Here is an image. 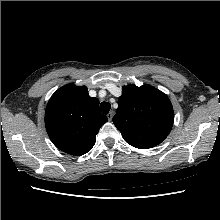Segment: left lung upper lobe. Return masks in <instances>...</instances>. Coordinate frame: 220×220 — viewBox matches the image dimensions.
<instances>
[{
	"instance_id": "1",
	"label": "left lung upper lobe",
	"mask_w": 220,
	"mask_h": 220,
	"mask_svg": "<svg viewBox=\"0 0 220 220\" xmlns=\"http://www.w3.org/2000/svg\"><path fill=\"white\" fill-rule=\"evenodd\" d=\"M118 105L113 123L131 146L152 148L170 133L174 121L173 107L160 90L150 85L124 86Z\"/></svg>"
}]
</instances>
